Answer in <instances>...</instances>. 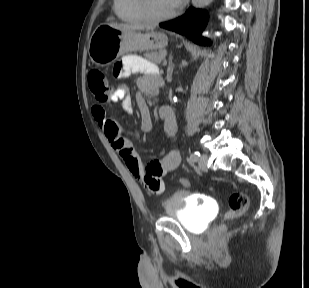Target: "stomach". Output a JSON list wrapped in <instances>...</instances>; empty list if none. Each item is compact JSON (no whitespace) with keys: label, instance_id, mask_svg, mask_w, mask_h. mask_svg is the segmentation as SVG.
Segmentation results:
<instances>
[{"label":"stomach","instance_id":"obj_1","mask_svg":"<svg viewBox=\"0 0 309 288\" xmlns=\"http://www.w3.org/2000/svg\"><path fill=\"white\" fill-rule=\"evenodd\" d=\"M167 44L164 33H141L106 23L99 25L91 35L88 54L94 64L103 67L125 53L162 49Z\"/></svg>","mask_w":309,"mask_h":288}]
</instances>
